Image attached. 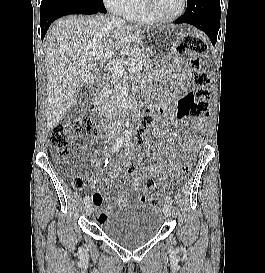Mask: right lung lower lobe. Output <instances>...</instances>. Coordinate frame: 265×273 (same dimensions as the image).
<instances>
[{
    "label": "right lung lower lobe",
    "instance_id": "obj_1",
    "mask_svg": "<svg viewBox=\"0 0 265 273\" xmlns=\"http://www.w3.org/2000/svg\"><path fill=\"white\" fill-rule=\"evenodd\" d=\"M101 12L94 7H82L63 2H47L40 6V27L42 32V40L51 25V23L59 17L70 14L91 15Z\"/></svg>",
    "mask_w": 265,
    "mask_h": 273
}]
</instances>
